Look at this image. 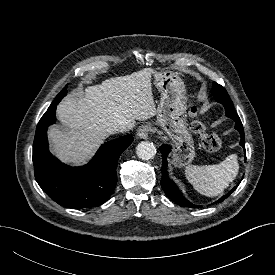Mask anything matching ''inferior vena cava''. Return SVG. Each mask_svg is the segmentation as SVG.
<instances>
[{"label":"inferior vena cava","instance_id":"obj_1","mask_svg":"<svg viewBox=\"0 0 275 275\" xmlns=\"http://www.w3.org/2000/svg\"><path fill=\"white\" fill-rule=\"evenodd\" d=\"M132 127L131 124L121 123L115 128V130L119 132H127L132 129Z\"/></svg>","mask_w":275,"mask_h":275}]
</instances>
